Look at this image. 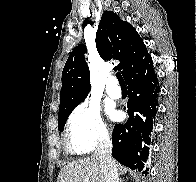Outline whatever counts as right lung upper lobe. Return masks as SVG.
Wrapping results in <instances>:
<instances>
[{
	"instance_id": "right-lung-upper-lobe-1",
	"label": "right lung upper lobe",
	"mask_w": 196,
	"mask_h": 182,
	"mask_svg": "<svg viewBox=\"0 0 196 182\" xmlns=\"http://www.w3.org/2000/svg\"><path fill=\"white\" fill-rule=\"evenodd\" d=\"M96 48L104 60L117 59L116 69L125 77L150 54L136 29L119 19L114 12L105 11L96 33ZM85 45H78L68 57L62 72V88L58 117L72 111L91 90L89 68L84 54Z\"/></svg>"
}]
</instances>
